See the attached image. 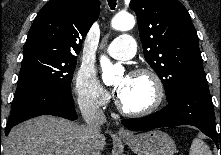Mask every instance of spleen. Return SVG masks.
<instances>
[{
	"instance_id": "1",
	"label": "spleen",
	"mask_w": 221,
	"mask_h": 155,
	"mask_svg": "<svg viewBox=\"0 0 221 155\" xmlns=\"http://www.w3.org/2000/svg\"><path fill=\"white\" fill-rule=\"evenodd\" d=\"M189 155H212L209 147L199 138L192 141Z\"/></svg>"
}]
</instances>
